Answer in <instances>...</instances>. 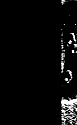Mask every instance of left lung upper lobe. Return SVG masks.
I'll use <instances>...</instances> for the list:
<instances>
[{"label":"left lung upper lobe","mask_w":77,"mask_h":125,"mask_svg":"<svg viewBox=\"0 0 77 125\" xmlns=\"http://www.w3.org/2000/svg\"><path fill=\"white\" fill-rule=\"evenodd\" d=\"M73 6L66 4L63 9L59 12V17L61 18L59 23L60 26L63 28L64 31V42L67 51L71 53L70 49L73 48V45L75 43V37H76V17L73 12Z\"/></svg>","instance_id":"5c2ea615"}]
</instances>
